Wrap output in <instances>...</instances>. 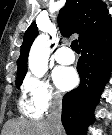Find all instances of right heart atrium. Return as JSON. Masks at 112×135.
Returning <instances> with one entry per match:
<instances>
[{"instance_id": "d8ad5b80", "label": "right heart atrium", "mask_w": 112, "mask_h": 135, "mask_svg": "<svg viewBox=\"0 0 112 135\" xmlns=\"http://www.w3.org/2000/svg\"><path fill=\"white\" fill-rule=\"evenodd\" d=\"M23 91L31 106L40 114L60 105L62 96L44 78L28 76L23 84Z\"/></svg>"}]
</instances>
